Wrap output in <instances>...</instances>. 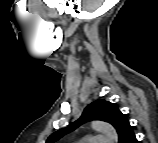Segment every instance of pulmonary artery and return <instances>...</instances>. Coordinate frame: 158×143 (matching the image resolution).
I'll return each mask as SVG.
<instances>
[{
	"label": "pulmonary artery",
	"instance_id": "pulmonary-artery-1",
	"mask_svg": "<svg viewBox=\"0 0 158 143\" xmlns=\"http://www.w3.org/2000/svg\"><path fill=\"white\" fill-rule=\"evenodd\" d=\"M85 140H87V141H94V140H101V139H95L93 137H87V138H85Z\"/></svg>",
	"mask_w": 158,
	"mask_h": 143
}]
</instances>
